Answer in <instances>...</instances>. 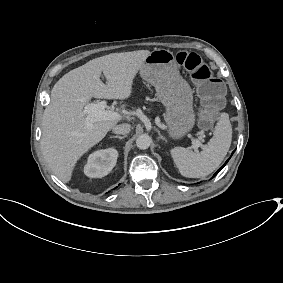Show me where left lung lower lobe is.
Segmentation results:
<instances>
[{"label":"left lung lower lobe","instance_id":"0a47b994","mask_svg":"<svg viewBox=\"0 0 283 283\" xmlns=\"http://www.w3.org/2000/svg\"><path fill=\"white\" fill-rule=\"evenodd\" d=\"M234 152H232V154H233ZM231 158V157H230ZM229 158V159H230ZM229 159L225 162V164L213 175V177H215L222 169H223V167L227 164V162L229 161Z\"/></svg>","mask_w":283,"mask_h":283}]
</instances>
